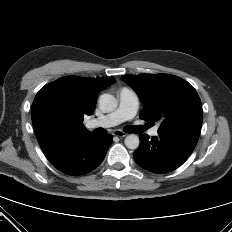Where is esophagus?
I'll return each mask as SVG.
<instances>
[{"instance_id": "esophagus-1", "label": "esophagus", "mask_w": 232, "mask_h": 232, "mask_svg": "<svg viewBox=\"0 0 232 232\" xmlns=\"http://www.w3.org/2000/svg\"><path fill=\"white\" fill-rule=\"evenodd\" d=\"M113 135L122 138L125 137L127 134L122 130H114Z\"/></svg>"}]
</instances>
